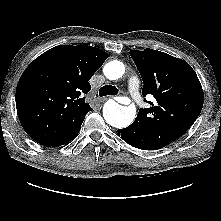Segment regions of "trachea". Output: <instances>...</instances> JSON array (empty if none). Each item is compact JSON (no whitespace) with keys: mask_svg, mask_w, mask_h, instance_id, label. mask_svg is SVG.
<instances>
[{"mask_svg":"<svg viewBox=\"0 0 221 221\" xmlns=\"http://www.w3.org/2000/svg\"><path fill=\"white\" fill-rule=\"evenodd\" d=\"M118 93V89L115 86L112 85H105L100 88L99 90V96H107V95H116Z\"/></svg>","mask_w":221,"mask_h":221,"instance_id":"3493384b","label":"trachea"}]
</instances>
